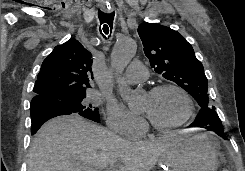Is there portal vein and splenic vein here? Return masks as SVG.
<instances>
[{"mask_svg":"<svg viewBox=\"0 0 245 171\" xmlns=\"http://www.w3.org/2000/svg\"><path fill=\"white\" fill-rule=\"evenodd\" d=\"M90 171H100L99 169H91ZM105 171H110L109 169H106Z\"/></svg>","mask_w":245,"mask_h":171,"instance_id":"1","label":"portal vein and splenic vein"}]
</instances>
